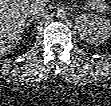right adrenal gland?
<instances>
[{"instance_id": "2a0ac1e0", "label": "right adrenal gland", "mask_w": 111, "mask_h": 106, "mask_svg": "<svg viewBox=\"0 0 111 106\" xmlns=\"http://www.w3.org/2000/svg\"><path fill=\"white\" fill-rule=\"evenodd\" d=\"M39 20V17H32L31 19H28L26 24H25V30L28 31L30 23L32 21H35V23Z\"/></svg>"}]
</instances>
